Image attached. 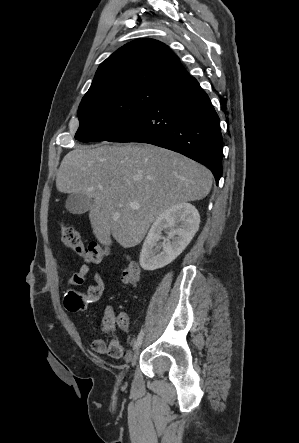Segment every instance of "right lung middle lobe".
Listing matches in <instances>:
<instances>
[{
  "label": "right lung middle lobe",
  "mask_w": 299,
  "mask_h": 443,
  "mask_svg": "<svg viewBox=\"0 0 299 443\" xmlns=\"http://www.w3.org/2000/svg\"><path fill=\"white\" fill-rule=\"evenodd\" d=\"M165 90L148 87L119 88L83 98L75 139L104 141L136 121Z\"/></svg>",
  "instance_id": "1"
}]
</instances>
